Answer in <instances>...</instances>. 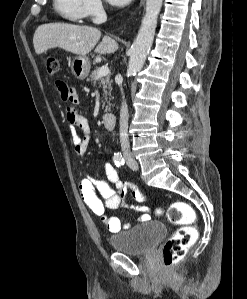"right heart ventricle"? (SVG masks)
<instances>
[{"label": "right heart ventricle", "instance_id": "obj_1", "mask_svg": "<svg viewBox=\"0 0 247 299\" xmlns=\"http://www.w3.org/2000/svg\"><path fill=\"white\" fill-rule=\"evenodd\" d=\"M53 7L60 17L70 22H80L86 17L84 0H53Z\"/></svg>", "mask_w": 247, "mask_h": 299}]
</instances>
